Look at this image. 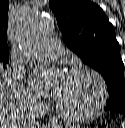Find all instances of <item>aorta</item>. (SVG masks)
Returning <instances> with one entry per match:
<instances>
[{"label": "aorta", "mask_w": 125, "mask_h": 128, "mask_svg": "<svg viewBox=\"0 0 125 128\" xmlns=\"http://www.w3.org/2000/svg\"><path fill=\"white\" fill-rule=\"evenodd\" d=\"M54 25L50 16H30L23 20L18 42L24 53L29 54L45 40Z\"/></svg>", "instance_id": "obj_1"}]
</instances>
